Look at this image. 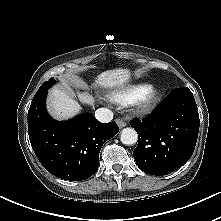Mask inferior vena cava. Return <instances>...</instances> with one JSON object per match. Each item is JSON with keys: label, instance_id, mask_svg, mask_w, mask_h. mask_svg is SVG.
I'll return each instance as SVG.
<instances>
[{"label": "inferior vena cava", "instance_id": "1", "mask_svg": "<svg viewBox=\"0 0 221 221\" xmlns=\"http://www.w3.org/2000/svg\"><path fill=\"white\" fill-rule=\"evenodd\" d=\"M95 117L102 123L111 122L113 119V112L108 108H99L95 111Z\"/></svg>", "mask_w": 221, "mask_h": 221}]
</instances>
